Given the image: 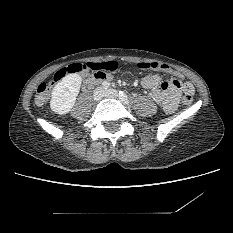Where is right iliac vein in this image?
<instances>
[{"label": "right iliac vein", "mask_w": 233, "mask_h": 233, "mask_svg": "<svg viewBox=\"0 0 233 233\" xmlns=\"http://www.w3.org/2000/svg\"><path fill=\"white\" fill-rule=\"evenodd\" d=\"M104 94V90L102 88H98L95 92H94V100L95 101H99L102 96Z\"/></svg>", "instance_id": "1"}]
</instances>
